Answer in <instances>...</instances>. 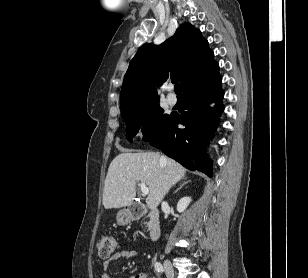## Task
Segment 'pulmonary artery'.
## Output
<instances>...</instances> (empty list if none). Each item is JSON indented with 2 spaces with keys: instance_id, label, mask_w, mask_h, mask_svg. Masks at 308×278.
Wrapping results in <instances>:
<instances>
[{
  "instance_id": "e3ab8cb5",
  "label": "pulmonary artery",
  "mask_w": 308,
  "mask_h": 278,
  "mask_svg": "<svg viewBox=\"0 0 308 278\" xmlns=\"http://www.w3.org/2000/svg\"><path fill=\"white\" fill-rule=\"evenodd\" d=\"M167 101L170 105H175L177 102V97L175 96L174 93L169 92L167 95Z\"/></svg>"
}]
</instances>
